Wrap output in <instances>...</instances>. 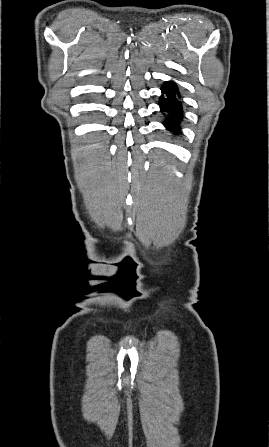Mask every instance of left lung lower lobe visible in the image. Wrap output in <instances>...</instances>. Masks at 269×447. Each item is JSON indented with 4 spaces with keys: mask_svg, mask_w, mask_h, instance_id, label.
Segmentation results:
<instances>
[{
    "mask_svg": "<svg viewBox=\"0 0 269 447\" xmlns=\"http://www.w3.org/2000/svg\"><path fill=\"white\" fill-rule=\"evenodd\" d=\"M162 93L166 94V97L162 96L160 98V108L161 111L168 112V117L165 122V126L169 131H173L177 133L179 129V122L182 119V108L181 103L177 100L179 95V91L177 85L173 82H166L161 88Z\"/></svg>",
    "mask_w": 269,
    "mask_h": 447,
    "instance_id": "left-lung-lower-lobe-1",
    "label": "left lung lower lobe"
}]
</instances>
